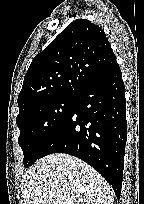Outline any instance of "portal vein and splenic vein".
Instances as JSON below:
<instances>
[{
  "instance_id": "1",
  "label": "portal vein and splenic vein",
  "mask_w": 144,
  "mask_h": 204,
  "mask_svg": "<svg viewBox=\"0 0 144 204\" xmlns=\"http://www.w3.org/2000/svg\"><path fill=\"white\" fill-rule=\"evenodd\" d=\"M49 194H50V196H53V195H54V193H53V192H50Z\"/></svg>"
}]
</instances>
